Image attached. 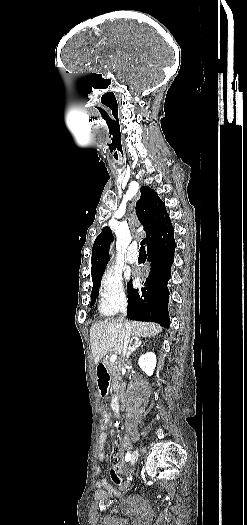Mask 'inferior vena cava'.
<instances>
[{
    "instance_id": "1",
    "label": "inferior vena cava",
    "mask_w": 247,
    "mask_h": 525,
    "mask_svg": "<svg viewBox=\"0 0 247 525\" xmlns=\"http://www.w3.org/2000/svg\"><path fill=\"white\" fill-rule=\"evenodd\" d=\"M120 313H122V319H125L127 315V305L126 303H121L120 305ZM125 333L123 337V349H122V357H128V349H129V343H130V337H131V331L129 325H125Z\"/></svg>"
}]
</instances>
